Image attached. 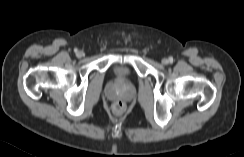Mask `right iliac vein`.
<instances>
[{
  "instance_id": "obj_1",
  "label": "right iliac vein",
  "mask_w": 244,
  "mask_h": 157,
  "mask_svg": "<svg viewBox=\"0 0 244 157\" xmlns=\"http://www.w3.org/2000/svg\"><path fill=\"white\" fill-rule=\"evenodd\" d=\"M82 56H83V52L80 51V52L77 53V57L80 58V57H82Z\"/></svg>"
}]
</instances>
